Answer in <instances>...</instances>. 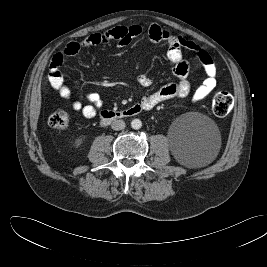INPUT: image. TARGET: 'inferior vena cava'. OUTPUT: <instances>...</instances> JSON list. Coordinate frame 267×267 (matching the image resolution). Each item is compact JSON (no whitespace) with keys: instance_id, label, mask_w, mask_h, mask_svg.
<instances>
[{"instance_id":"602c4592","label":"inferior vena cava","mask_w":267,"mask_h":267,"mask_svg":"<svg viewBox=\"0 0 267 267\" xmlns=\"http://www.w3.org/2000/svg\"><path fill=\"white\" fill-rule=\"evenodd\" d=\"M111 127L115 131L123 130L125 128V122L123 120H115L112 122Z\"/></svg>"}]
</instances>
